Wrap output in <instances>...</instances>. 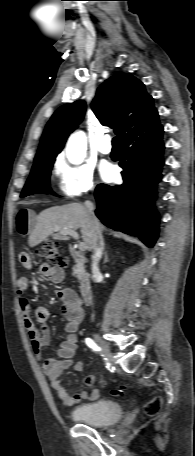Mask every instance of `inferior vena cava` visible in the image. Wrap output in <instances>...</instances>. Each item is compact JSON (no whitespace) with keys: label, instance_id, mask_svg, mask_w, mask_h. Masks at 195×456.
Returning a JSON list of instances; mask_svg holds the SVG:
<instances>
[{"label":"inferior vena cava","instance_id":"obj_1","mask_svg":"<svg viewBox=\"0 0 195 456\" xmlns=\"http://www.w3.org/2000/svg\"><path fill=\"white\" fill-rule=\"evenodd\" d=\"M85 207L91 217L93 227H94V243H93V255H92V272L93 278L96 279L99 277L100 271L98 268V263L101 259L103 250H104V240L100 229V224L96 216L94 215V204L91 201L85 202Z\"/></svg>","mask_w":195,"mask_h":456}]
</instances>
